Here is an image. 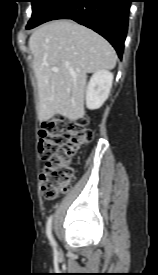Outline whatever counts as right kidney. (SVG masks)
I'll return each mask as SVG.
<instances>
[{
	"instance_id": "obj_1",
	"label": "right kidney",
	"mask_w": 158,
	"mask_h": 275,
	"mask_svg": "<svg viewBox=\"0 0 158 275\" xmlns=\"http://www.w3.org/2000/svg\"><path fill=\"white\" fill-rule=\"evenodd\" d=\"M113 74L105 69L96 71L87 86L86 105L94 110L100 108L108 98L112 87Z\"/></svg>"
}]
</instances>
